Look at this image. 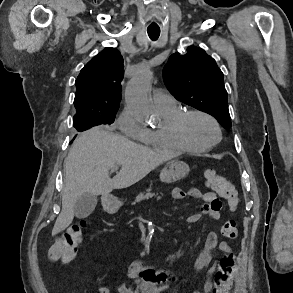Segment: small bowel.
Listing matches in <instances>:
<instances>
[{
  "label": "small bowel",
  "mask_w": 293,
  "mask_h": 293,
  "mask_svg": "<svg viewBox=\"0 0 293 293\" xmlns=\"http://www.w3.org/2000/svg\"><path fill=\"white\" fill-rule=\"evenodd\" d=\"M186 197L203 200L201 212L187 216L186 221L188 223L198 222L202 215H207L213 220L220 219L222 205L214 191L201 192L198 188H191L189 190L176 188L172 192V198L175 200H182ZM217 248L223 252L232 251L230 244L220 241L215 232H210L206 238L203 250L197 256L194 263L196 270L207 268L209 278L205 281L202 290L194 293H211L213 283L210 278L216 271V267L211 265L212 252ZM127 275L134 281V285L126 286L120 283L116 285L114 290L102 287L98 290V293H167L169 290L171 274L168 270L148 267L140 261H133L129 266Z\"/></svg>",
  "instance_id": "1"
}]
</instances>
